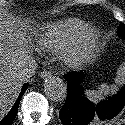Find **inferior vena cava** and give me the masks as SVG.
I'll return each instance as SVG.
<instances>
[{
  "mask_svg": "<svg viewBox=\"0 0 125 125\" xmlns=\"http://www.w3.org/2000/svg\"><path fill=\"white\" fill-rule=\"evenodd\" d=\"M36 62L31 60L27 63L23 62V68L19 71V78L20 80L24 81L27 78H30L36 69Z\"/></svg>",
  "mask_w": 125,
  "mask_h": 125,
  "instance_id": "1",
  "label": "inferior vena cava"
}]
</instances>
